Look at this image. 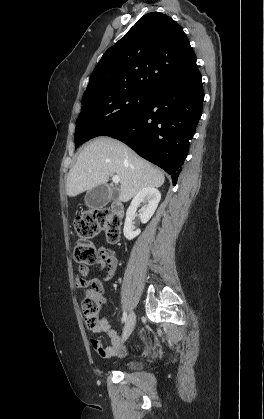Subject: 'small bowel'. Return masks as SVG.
<instances>
[{
    "label": "small bowel",
    "instance_id": "small-bowel-1",
    "mask_svg": "<svg viewBox=\"0 0 264 419\" xmlns=\"http://www.w3.org/2000/svg\"><path fill=\"white\" fill-rule=\"evenodd\" d=\"M98 266L101 270H105L106 274L99 278L90 279V269L86 265H81L77 270L75 278V285L77 288H86V292H92L98 295L103 303H106V292L103 285L104 281L111 280L117 271L118 261L115 252L105 246H101L98 249ZM91 286V288H87ZM94 332H104L109 338V344L103 345L98 339L92 338L90 345L94 351L102 358L109 359L116 356H121L124 353V346L117 331L114 330L108 321L106 316H103L99 320V326Z\"/></svg>",
    "mask_w": 264,
    "mask_h": 419
}]
</instances>
